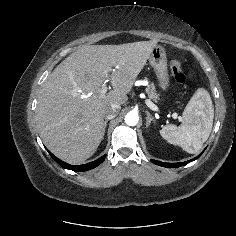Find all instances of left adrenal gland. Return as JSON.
<instances>
[{"label": "left adrenal gland", "mask_w": 236, "mask_h": 236, "mask_svg": "<svg viewBox=\"0 0 236 236\" xmlns=\"http://www.w3.org/2000/svg\"><path fill=\"white\" fill-rule=\"evenodd\" d=\"M146 128H148L150 126L151 123H154L155 125V120L153 119V117L150 115V113L148 111H146Z\"/></svg>", "instance_id": "a2214340"}]
</instances>
